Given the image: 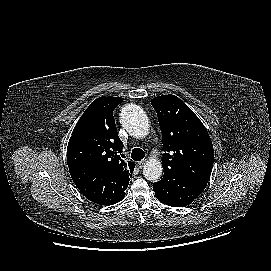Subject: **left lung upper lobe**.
<instances>
[{
  "label": "left lung upper lobe",
  "instance_id": "left-lung-upper-lobe-1",
  "mask_svg": "<svg viewBox=\"0 0 271 271\" xmlns=\"http://www.w3.org/2000/svg\"><path fill=\"white\" fill-rule=\"evenodd\" d=\"M151 104L162 130L164 173L179 172L206 187L214 161L210 136L194 112L178 97H155Z\"/></svg>",
  "mask_w": 271,
  "mask_h": 271
}]
</instances>
